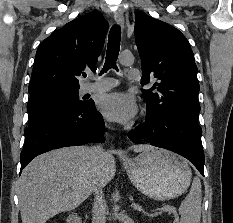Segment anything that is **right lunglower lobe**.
<instances>
[{
	"instance_id": "obj_1",
	"label": "right lung lower lobe",
	"mask_w": 233,
	"mask_h": 223,
	"mask_svg": "<svg viewBox=\"0 0 233 223\" xmlns=\"http://www.w3.org/2000/svg\"><path fill=\"white\" fill-rule=\"evenodd\" d=\"M105 131L102 115L94 101L77 110L34 123L25 131V145L21 152V170L36 156L52 149L103 142Z\"/></svg>"
}]
</instances>
